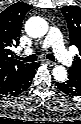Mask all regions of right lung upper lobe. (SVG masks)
Returning <instances> with one entry per match:
<instances>
[{"label": "right lung upper lobe", "instance_id": "1", "mask_svg": "<svg viewBox=\"0 0 81 124\" xmlns=\"http://www.w3.org/2000/svg\"><path fill=\"white\" fill-rule=\"evenodd\" d=\"M31 7L18 2L0 13V86L12 81L29 65L17 60L13 49L19 44L22 20Z\"/></svg>", "mask_w": 81, "mask_h": 124}]
</instances>
